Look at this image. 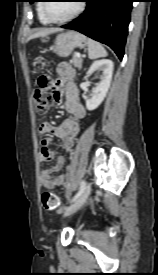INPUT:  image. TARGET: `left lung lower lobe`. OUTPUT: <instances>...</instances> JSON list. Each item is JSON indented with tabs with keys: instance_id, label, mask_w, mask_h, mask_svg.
<instances>
[{
	"instance_id": "left-lung-lower-lobe-1",
	"label": "left lung lower lobe",
	"mask_w": 158,
	"mask_h": 275,
	"mask_svg": "<svg viewBox=\"0 0 158 275\" xmlns=\"http://www.w3.org/2000/svg\"><path fill=\"white\" fill-rule=\"evenodd\" d=\"M86 2L84 13L62 27L79 31L108 45L122 60L133 0H87Z\"/></svg>"
}]
</instances>
